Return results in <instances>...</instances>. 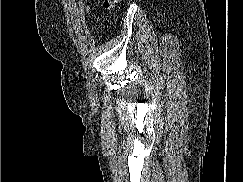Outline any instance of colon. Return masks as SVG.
<instances>
[{
    "instance_id": "1",
    "label": "colon",
    "mask_w": 243,
    "mask_h": 182,
    "mask_svg": "<svg viewBox=\"0 0 243 182\" xmlns=\"http://www.w3.org/2000/svg\"><path fill=\"white\" fill-rule=\"evenodd\" d=\"M120 2H122V0H103L102 2V6H103V9L106 10V11H111L115 8V6L117 4H119Z\"/></svg>"
}]
</instances>
